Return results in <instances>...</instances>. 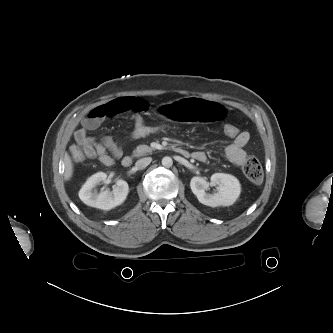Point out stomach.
<instances>
[{
  "label": "stomach",
  "instance_id": "0dacf381",
  "mask_svg": "<svg viewBox=\"0 0 333 333\" xmlns=\"http://www.w3.org/2000/svg\"><path fill=\"white\" fill-rule=\"evenodd\" d=\"M164 104V103H163ZM166 104V103H165ZM161 105V104H160ZM169 112L161 115L156 108V115L160 119H172L177 123L197 121L199 123H209L227 125L231 123L235 117L233 108L227 104L217 105L210 103L206 98L197 96L193 99L183 97L175 103H167Z\"/></svg>",
  "mask_w": 333,
  "mask_h": 333
}]
</instances>
